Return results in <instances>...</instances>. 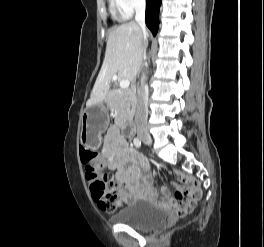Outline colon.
Masks as SVG:
<instances>
[{
	"label": "colon",
	"mask_w": 264,
	"mask_h": 247,
	"mask_svg": "<svg viewBox=\"0 0 264 247\" xmlns=\"http://www.w3.org/2000/svg\"><path fill=\"white\" fill-rule=\"evenodd\" d=\"M81 161L85 165V177L89 183L91 195L99 207L107 212H114L120 205L118 187L113 177L102 174L101 164L97 152L83 149ZM199 195L177 200L174 209L177 215L182 216L191 212L197 204Z\"/></svg>",
	"instance_id": "obj_1"
}]
</instances>
